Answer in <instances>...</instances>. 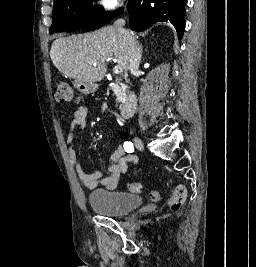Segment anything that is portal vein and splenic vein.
<instances>
[{"label":"portal vein and splenic vein","mask_w":256,"mask_h":267,"mask_svg":"<svg viewBox=\"0 0 256 267\" xmlns=\"http://www.w3.org/2000/svg\"><path fill=\"white\" fill-rule=\"evenodd\" d=\"M90 64H95V62H90ZM114 72L115 74H119V72H123V68L121 66H115Z\"/></svg>","instance_id":"portal-vein-and-splenic-vein-1"}]
</instances>
